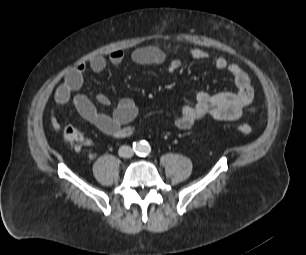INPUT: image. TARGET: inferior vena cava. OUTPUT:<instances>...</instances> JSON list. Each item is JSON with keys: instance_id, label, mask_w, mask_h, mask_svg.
I'll list each match as a JSON object with an SVG mask.
<instances>
[{"instance_id": "inferior-vena-cava-1", "label": "inferior vena cava", "mask_w": 306, "mask_h": 255, "mask_svg": "<svg viewBox=\"0 0 306 255\" xmlns=\"http://www.w3.org/2000/svg\"><path fill=\"white\" fill-rule=\"evenodd\" d=\"M118 154L120 157L130 158L133 156L134 152L130 146L124 145L119 148Z\"/></svg>"}]
</instances>
